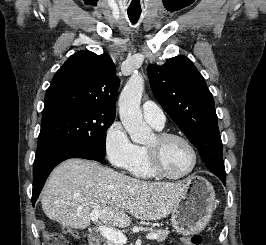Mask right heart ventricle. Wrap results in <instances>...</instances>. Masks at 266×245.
Wrapping results in <instances>:
<instances>
[{
	"mask_svg": "<svg viewBox=\"0 0 266 245\" xmlns=\"http://www.w3.org/2000/svg\"><path fill=\"white\" fill-rule=\"evenodd\" d=\"M132 174L142 180H154L156 176L152 173L146 156V151L144 148H141V153L138 158L137 163L132 169Z\"/></svg>",
	"mask_w": 266,
	"mask_h": 245,
	"instance_id": "1",
	"label": "right heart ventricle"
}]
</instances>
